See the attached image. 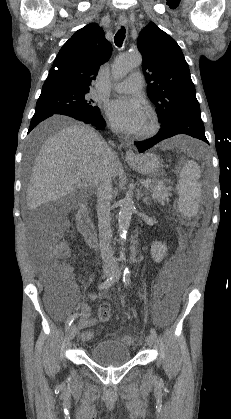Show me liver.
<instances>
[{"label": "liver", "mask_w": 231, "mask_h": 419, "mask_svg": "<svg viewBox=\"0 0 231 419\" xmlns=\"http://www.w3.org/2000/svg\"><path fill=\"white\" fill-rule=\"evenodd\" d=\"M62 120L54 117L44 127ZM106 148L107 144L101 136L84 125L66 126L49 136L32 168L27 188L28 208L35 209L79 189L95 188L105 170L111 178L116 177L120 168L119 159L117 155L108 158Z\"/></svg>", "instance_id": "obj_1"}]
</instances>
